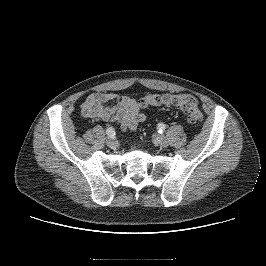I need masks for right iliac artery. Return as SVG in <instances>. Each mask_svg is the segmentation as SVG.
Returning <instances> with one entry per match:
<instances>
[{
    "instance_id": "1",
    "label": "right iliac artery",
    "mask_w": 266,
    "mask_h": 266,
    "mask_svg": "<svg viewBox=\"0 0 266 266\" xmlns=\"http://www.w3.org/2000/svg\"><path fill=\"white\" fill-rule=\"evenodd\" d=\"M106 133L108 136H113L115 134V130L113 127H108Z\"/></svg>"
}]
</instances>
